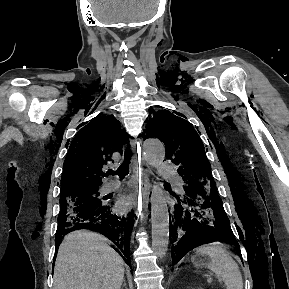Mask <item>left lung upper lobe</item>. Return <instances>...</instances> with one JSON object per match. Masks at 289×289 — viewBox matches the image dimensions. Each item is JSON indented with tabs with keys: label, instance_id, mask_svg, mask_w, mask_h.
Segmentation results:
<instances>
[{
	"label": "left lung upper lobe",
	"instance_id": "obj_1",
	"mask_svg": "<svg viewBox=\"0 0 289 289\" xmlns=\"http://www.w3.org/2000/svg\"><path fill=\"white\" fill-rule=\"evenodd\" d=\"M147 133L146 138L156 137L164 142L166 157L178 166L183 186L216 187L203 143L189 122L167 111H157L147 126Z\"/></svg>",
	"mask_w": 289,
	"mask_h": 289
}]
</instances>
